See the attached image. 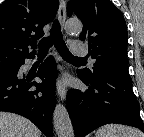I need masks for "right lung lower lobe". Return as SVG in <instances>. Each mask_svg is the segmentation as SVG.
Wrapping results in <instances>:
<instances>
[{
  "label": "right lung lower lobe",
  "mask_w": 144,
  "mask_h": 137,
  "mask_svg": "<svg viewBox=\"0 0 144 137\" xmlns=\"http://www.w3.org/2000/svg\"><path fill=\"white\" fill-rule=\"evenodd\" d=\"M30 58V57H29ZM20 62L13 73L0 75V111L31 120L47 137L53 136L52 113L56 104V63L47 58L35 74H23ZM39 77L42 83L34 81Z\"/></svg>",
  "instance_id": "right-lung-lower-lobe-1"
}]
</instances>
